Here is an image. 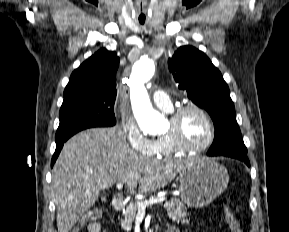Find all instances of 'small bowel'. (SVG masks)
Masks as SVG:
<instances>
[{
  "label": "small bowel",
  "mask_w": 289,
  "mask_h": 232,
  "mask_svg": "<svg viewBox=\"0 0 289 232\" xmlns=\"http://www.w3.org/2000/svg\"><path fill=\"white\" fill-rule=\"evenodd\" d=\"M88 232H107L104 226L99 222H92L88 225ZM164 232H174L173 229L167 228Z\"/></svg>",
  "instance_id": "obj_1"
}]
</instances>
